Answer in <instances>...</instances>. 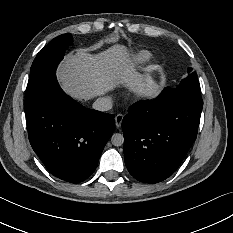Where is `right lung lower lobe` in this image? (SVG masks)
Segmentation results:
<instances>
[{
  "mask_svg": "<svg viewBox=\"0 0 233 233\" xmlns=\"http://www.w3.org/2000/svg\"><path fill=\"white\" fill-rule=\"evenodd\" d=\"M28 137L47 170L70 183L87 179L115 128L114 115L91 110L52 82L25 103Z\"/></svg>",
  "mask_w": 233,
  "mask_h": 233,
  "instance_id": "1",
  "label": "right lung lower lobe"
}]
</instances>
